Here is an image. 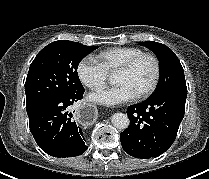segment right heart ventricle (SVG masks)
<instances>
[{
    "mask_svg": "<svg viewBox=\"0 0 209 179\" xmlns=\"http://www.w3.org/2000/svg\"><path fill=\"white\" fill-rule=\"evenodd\" d=\"M142 52L143 50L137 47H113L101 51L96 60L109 75L114 74L128 60Z\"/></svg>",
    "mask_w": 209,
    "mask_h": 179,
    "instance_id": "e07e8e85",
    "label": "right heart ventricle"
}]
</instances>
